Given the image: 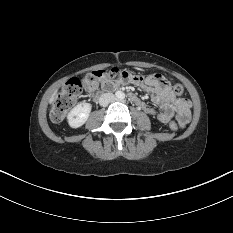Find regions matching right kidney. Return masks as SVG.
<instances>
[{"label": "right kidney", "instance_id": "right-kidney-1", "mask_svg": "<svg viewBox=\"0 0 233 233\" xmlns=\"http://www.w3.org/2000/svg\"><path fill=\"white\" fill-rule=\"evenodd\" d=\"M91 104L89 103H79L76 105L67 116L68 124L72 128H79L87 121L90 112Z\"/></svg>", "mask_w": 233, "mask_h": 233}]
</instances>
